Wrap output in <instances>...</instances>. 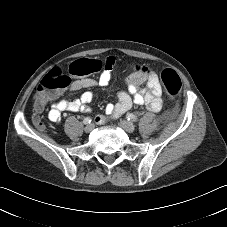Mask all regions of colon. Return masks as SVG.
I'll use <instances>...</instances> for the list:
<instances>
[{
  "instance_id": "5ec220e1",
  "label": "colon",
  "mask_w": 227,
  "mask_h": 227,
  "mask_svg": "<svg viewBox=\"0 0 227 227\" xmlns=\"http://www.w3.org/2000/svg\"><path fill=\"white\" fill-rule=\"evenodd\" d=\"M100 68V61L80 58L69 64L68 73L77 77H86L96 73ZM133 69L149 73L148 69L140 65H133ZM68 73L59 67H54L42 78L33 97L35 112H40L47 102L57 97L60 91L70 86L71 77ZM160 79L167 96L170 99L177 98L182 90V82L179 75L172 69H164L160 73ZM34 123L39 128H44V124L37 117L34 118Z\"/></svg>"
}]
</instances>
